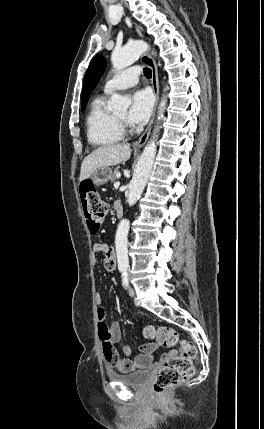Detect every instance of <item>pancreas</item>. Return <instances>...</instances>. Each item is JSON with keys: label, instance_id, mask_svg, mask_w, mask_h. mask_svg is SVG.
Wrapping results in <instances>:
<instances>
[{"label": "pancreas", "instance_id": "obj_1", "mask_svg": "<svg viewBox=\"0 0 264 429\" xmlns=\"http://www.w3.org/2000/svg\"><path fill=\"white\" fill-rule=\"evenodd\" d=\"M117 170L114 171V173L112 174V176L110 177L111 182H115V180H117Z\"/></svg>", "mask_w": 264, "mask_h": 429}]
</instances>
